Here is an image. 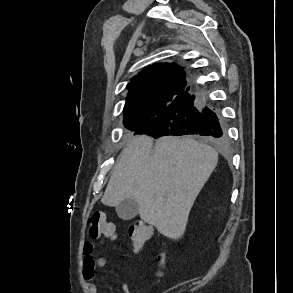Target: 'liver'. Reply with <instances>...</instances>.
<instances>
[{
  "mask_svg": "<svg viewBox=\"0 0 293 293\" xmlns=\"http://www.w3.org/2000/svg\"><path fill=\"white\" fill-rule=\"evenodd\" d=\"M218 162L216 150L186 137L140 135L123 149L101 199L117 206L131 198L140 218L178 240L190 210Z\"/></svg>",
  "mask_w": 293,
  "mask_h": 293,
  "instance_id": "6515ba94",
  "label": "liver"
}]
</instances>
